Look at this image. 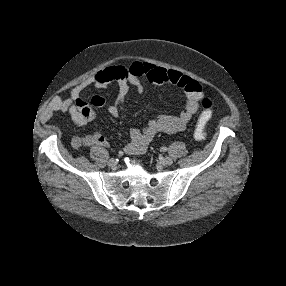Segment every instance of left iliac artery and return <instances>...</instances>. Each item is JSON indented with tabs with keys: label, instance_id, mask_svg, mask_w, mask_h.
<instances>
[{
	"label": "left iliac artery",
	"instance_id": "44dca946",
	"mask_svg": "<svg viewBox=\"0 0 286 286\" xmlns=\"http://www.w3.org/2000/svg\"><path fill=\"white\" fill-rule=\"evenodd\" d=\"M161 150L165 152V151H167V148L166 147H162Z\"/></svg>",
	"mask_w": 286,
	"mask_h": 286
}]
</instances>
